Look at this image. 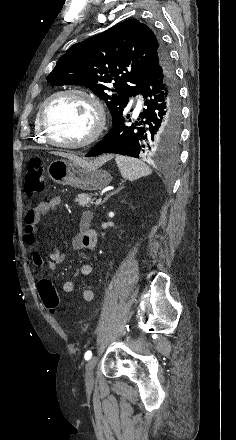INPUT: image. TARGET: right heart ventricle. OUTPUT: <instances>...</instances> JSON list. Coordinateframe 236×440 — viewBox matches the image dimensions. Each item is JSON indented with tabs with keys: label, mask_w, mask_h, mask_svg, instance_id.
Segmentation results:
<instances>
[{
	"label": "right heart ventricle",
	"mask_w": 236,
	"mask_h": 440,
	"mask_svg": "<svg viewBox=\"0 0 236 440\" xmlns=\"http://www.w3.org/2000/svg\"><path fill=\"white\" fill-rule=\"evenodd\" d=\"M38 116H39V110L36 113L35 122H34L36 141L39 143H46V140H45V138L42 134V131L40 129V126H39Z\"/></svg>",
	"instance_id": "right-heart-ventricle-1"
}]
</instances>
